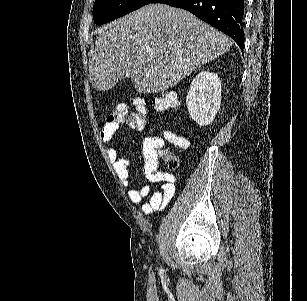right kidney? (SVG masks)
Segmentation results:
<instances>
[{
  "mask_svg": "<svg viewBox=\"0 0 307 301\" xmlns=\"http://www.w3.org/2000/svg\"><path fill=\"white\" fill-rule=\"evenodd\" d=\"M221 90V80L216 72L201 70L193 78L186 104L191 118L199 126H208L214 120L221 104Z\"/></svg>",
  "mask_w": 307,
  "mask_h": 301,
  "instance_id": "right-kidney-1",
  "label": "right kidney"
}]
</instances>
